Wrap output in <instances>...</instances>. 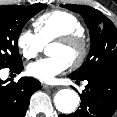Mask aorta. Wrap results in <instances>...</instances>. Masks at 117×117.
Wrapping results in <instances>:
<instances>
[{"instance_id":"aorta-1","label":"aorta","mask_w":117,"mask_h":117,"mask_svg":"<svg viewBox=\"0 0 117 117\" xmlns=\"http://www.w3.org/2000/svg\"><path fill=\"white\" fill-rule=\"evenodd\" d=\"M79 96L72 89H62L54 97L56 109L64 114H71L79 104Z\"/></svg>"}]
</instances>
